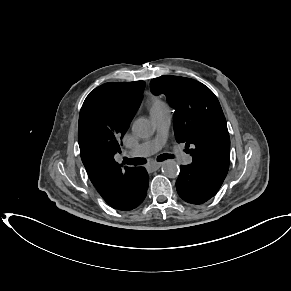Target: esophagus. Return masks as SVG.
Returning <instances> with one entry per match:
<instances>
[{
  "label": "esophagus",
  "instance_id": "esophagus-1",
  "mask_svg": "<svg viewBox=\"0 0 291 291\" xmlns=\"http://www.w3.org/2000/svg\"><path fill=\"white\" fill-rule=\"evenodd\" d=\"M162 165L161 162H154V163H151L147 166V168L151 169V170H157L158 168H160Z\"/></svg>",
  "mask_w": 291,
  "mask_h": 291
}]
</instances>
